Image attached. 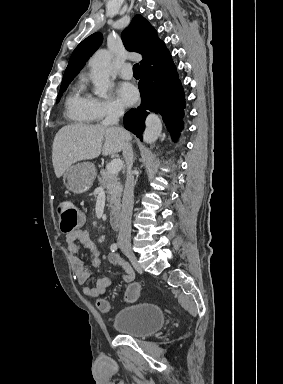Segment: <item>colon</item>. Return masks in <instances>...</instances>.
Instances as JSON below:
<instances>
[{
	"label": "colon",
	"mask_w": 283,
	"mask_h": 384,
	"mask_svg": "<svg viewBox=\"0 0 283 384\" xmlns=\"http://www.w3.org/2000/svg\"><path fill=\"white\" fill-rule=\"evenodd\" d=\"M57 211L60 218V227L64 233L73 232L84 224L83 213L70 199L62 200L58 204ZM140 290V286L137 284L129 285L125 294L126 300L135 301L140 294ZM97 307L102 313H108L111 309V305L106 299H99Z\"/></svg>",
	"instance_id": "5ec220e1"
}]
</instances>
